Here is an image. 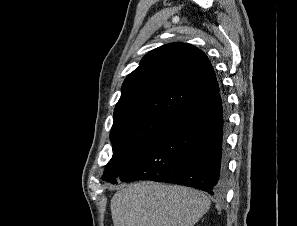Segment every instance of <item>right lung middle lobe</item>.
<instances>
[{
    "instance_id": "dd1d6c3e",
    "label": "right lung middle lobe",
    "mask_w": 297,
    "mask_h": 226,
    "mask_svg": "<svg viewBox=\"0 0 297 226\" xmlns=\"http://www.w3.org/2000/svg\"><path fill=\"white\" fill-rule=\"evenodd\" d=\"M171 115L146 114L113 123L110 140L113 156L102 177L114 183L145 151L158 131L168 122Z\"/></svg>"
}]
</instances>
